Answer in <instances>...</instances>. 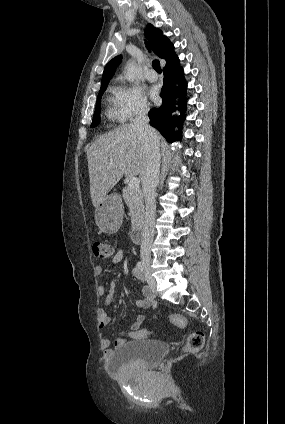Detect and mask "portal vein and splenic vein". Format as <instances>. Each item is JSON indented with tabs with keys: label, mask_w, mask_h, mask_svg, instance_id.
Returning <instances> with one entry per match:
<instances>
[{
	"label": "portal vein and splenic vein",
	"mask_w": 285,
	"mask_h": 424,
	"mask_svg": "<svg viewBox=\"0 0 285 424\" xmlns=\"http://www.w3.org/2000/svg\"><path fill=\"white\" fill-rule=\"evenodd\" d=\"M128 186L133 189L137 190L140 188V181L137 177H131L128 181Z\"/></svg>",
	"instance_id": "1"
}]
</instances>
